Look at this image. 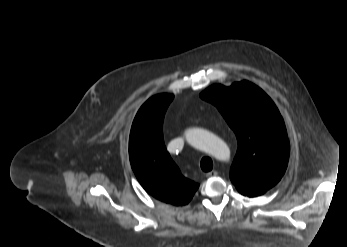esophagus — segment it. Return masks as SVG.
I'll list each match as a JSON object with an SVG mask.
<instances>
[{"instance_id": "obj_1", "label": "esophagus", "mask_w": 347, "mask_h": 247, "mask_svg": "<svg viewBox=\"0 0 347 247\" xmlns=\"http://www.w3.org/2000/svg\"><path fill=\"white\" fill-rule=\"evenodd\" d=\"M217 175H218V172L215 170H212V171L206 173L207 177H216Z\"/></svg>"}]
</instances>
